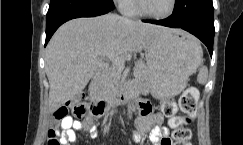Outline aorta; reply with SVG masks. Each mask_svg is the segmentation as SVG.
Masks as SVG:
<instances>
[{
	"instance_id": "aorta-1",
	"label": "aorta",
	"mask_w": 243,
	"mask_h": 145,
	"mask_svg": "<svg viewBox=\"0 0 243 145\" xmlns=\"http://www.w3.org/2000/svg\"><path fill=\"white\" fill-rule=\"evenodd\" d=\"M134 110H135L134 109V105L132 103H129L128 104V113H129V115H131Z\"/></svg>"
}]
</instances>
